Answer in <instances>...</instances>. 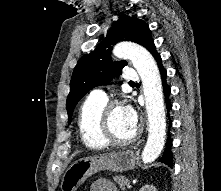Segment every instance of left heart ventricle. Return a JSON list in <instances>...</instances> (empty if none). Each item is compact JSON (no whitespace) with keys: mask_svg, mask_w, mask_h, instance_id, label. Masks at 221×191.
<instances>
[{"mask_svg":"<svg viewBox=\"0 0 221 191\" xmlns=\"http://www.w3.org/2000/svg\"><path fill=\"white\" fill-rule=\"evenodd\" d=\"M111 126L115 135L122 139L129 138L135 131L127 124L123 115L122 107L113 112Z\"/></svg>","mask_w":221,"mask_h":191,"instance_id":"obj_1","label":"left heart ventricle"}]
</instances>
